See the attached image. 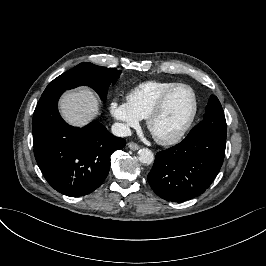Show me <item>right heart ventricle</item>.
<instances>
[{
  "label": "right heart ventricle",
  "mask_w": 266,
  "mask_h": 266,
  "mask_svg": "<svg viewBox=\"0 0 266 266\" xmlns=\"http://www.w3.org/2000/svg\"><path fill=\"white\" fill-rule=\"evenodd\" d=\"M178 82L171 80L146 81L134 89L128 95V102L140 119H146L149 111L158 101L160 96Z\"/></svg>",
  "instance_id": "1"
}]
</instances>
